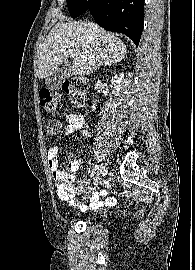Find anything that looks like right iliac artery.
I'll use <instances>...</instances> for the list:
<instances>
[{"instance_id":"1","label":"right iliac artery","mask_w":195,"mask_h":270,"mask_svg":"<svg viewBox=\"0 0 195 270\" xmlns=\"http://www.w3.org/2000/svg\"><path fill=\"white\" fill-rule=\"evenodd\" d=\"M97 168H98V165H95V167L93 168V170H92V172H91V175H90V179H89V180L92 179V177L94 176V174H95Z\"/></svg>"}]
</instances>
